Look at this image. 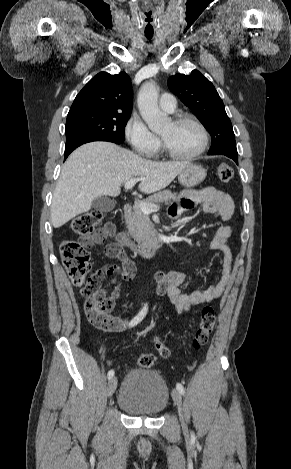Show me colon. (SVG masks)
I'll use <instances>...</instances> for the list:
<instances>
[{"label":"colon","mask_w":291,"mask_h":469,"mask_svg":"<svg viewBox=\"0 0 291 469\" xmlns=\"http://www.w3.org/2000/svg\"><path fill=\"white\" fill-rule=\"evenodd\" d=\"M217 174L222 182H229L234 176L233 168L227 163L217 166ZM100 211H88L75 217L71 223V229L80 236L79 240L65 239L60 243L62 262L68 272L72 284L81 288V294L85 297L84 310L89 322L102 330H109L113 326L112 317L108 313L112 310L115 300L101 289V281L105 274H118L122 279L128 280L135 273L132 261L124 259L121 266L112 265L102 270L92 272L88 247L94 243L99 233L97 227L102 220ZM109 255H121L118 244L109 243L106 247ZM216 323L215 312L210 307L201 311L200 320L192 339L195 350L204 347L212 333ZM155 347L159 354L168 358L170 350L158 338L155 339ZM156 356L153 353H142L138 363L141 367L150 368L154 365Z\"/></svg>","instance_id":"colon-1"}]
</instances>
